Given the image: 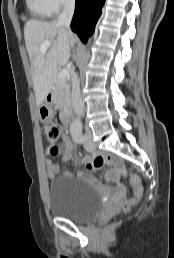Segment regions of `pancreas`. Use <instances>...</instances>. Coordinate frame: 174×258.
Masks as SVG:
<instances>
[{
    "label": "pancreas",
    "mask_w": 174,
    "mask_h": 258,
    "mask_svg": "<svg viewBox=\"0 0 174 258\" xmlns=\"http://www.w3.org/2000/svg\"><path fill=\"white\" fill-rule=\"evenodd\" d=\"M53 103L58 107L65 109L70 103V88L65 80L57 76L53 94Z\"/></svg>",
    "instance_id": "pancreas-1"
}]
</instances>
